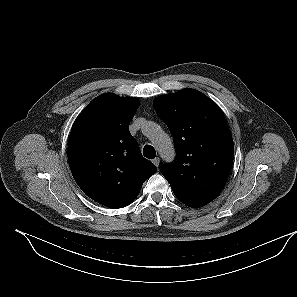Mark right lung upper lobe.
I'll return each instance as SVG.
<instances>
[{"label":"right lung upper lobe","mask_w":297,"mask_h":297,"mask_svg":"<svg viewBox=\"0 0 297 297\" xmlns=\"http://www.w3.org/2000/svg\"><path fill=\"white\" fill-rule=\"evenodd\" d=\"M139 102L112 93L93 99L76 118L68 161L81 190L94 201L122 208L138 196L157 168L143 158L129 124Z\"/></svg>","instance_id":"obj_1"}]
</instances>
